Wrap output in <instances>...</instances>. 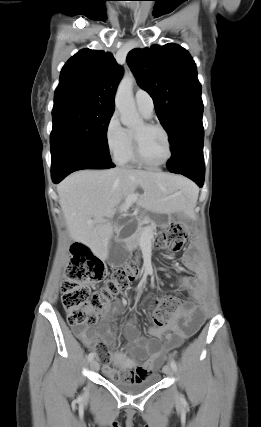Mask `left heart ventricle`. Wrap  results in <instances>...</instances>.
Here are the masks:
<instances>
[{"label":"left heart ventricle","mask_w":261,"mask_h":427,"mask_svg":"<svg viewBox=\"0 0 261 427\" xmlns=\"http://www.w3.org/2000/svg\"><path fill=\"white\" fill-rule=\"evenodd\" d=\"M133 132L139 137L141 151L146 161L158 164L167 158L168 145L162 131L147 129L141 124Z\"/></svg>","instance_id":"obj_1"}]
</instances>
